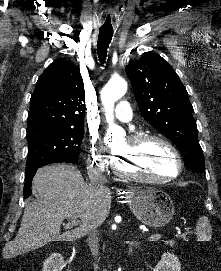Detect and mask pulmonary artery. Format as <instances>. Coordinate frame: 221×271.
<instances>
[{
	"label": "pulmonary artery",
	"mask_w": 221,
	"mask_h": 271,
	"mask_svg": "<svg viewBox=\"0 0 221 271\" xmlns=\"http://www.w3.org/2000/svg\"><path fill=\"white\" fill-rule=\"evenodd\" d=\"M116 107L118 112H109L108 116L113 117V122H130L128 125L131 127L135 122V117H132L133 107H129V102H116ZM116 111V108H113ZM132 133L135 131L133 128L130 130Z\"/></svg>",
	"instance_id": "e3ab8cb5"
}]
</instances>
